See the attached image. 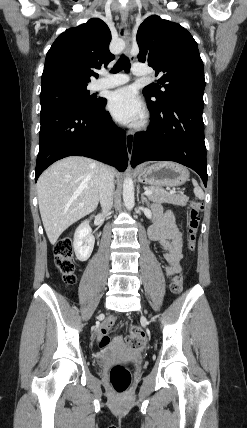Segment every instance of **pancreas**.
I'll use <instances>...</instances> for the list:
<instances>
[{"instance_id": "pancreas-1", "label": "pancreas", "mask_w": 247, "mask_h": 428, "mask_svg": "<svg viewBox=\"0 0 247 428\" xmlns=\"http://www.w3.org/2000/svg\"><path fill=\"white\" fill-rule=\"evenodd\" d=\"M148 189L152 191V194L149 195V199L157 203H170L179 206H186L188 202L187 196L168 193L159 186H149Z\"/></svg>"}]
</instances>
